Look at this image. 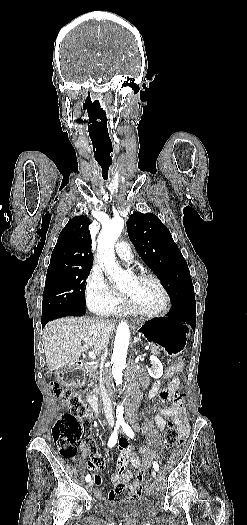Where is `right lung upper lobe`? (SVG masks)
<instances>
[{"label": "right lung upper lobe", "instance_id": "1", "mask_svg": "<svg viewBox=\"0 0 247 525\" xmlns=\"http://www.w3.org/2000/svg\"><path fill=\"white\" fill-rule=\"evenodd\" d=\"M89 224L87 216H76L66 224L52 251L48 271L92 268Z\"/></svg>", "mask_w": 247, "mask_h": 525}]
</instances>
